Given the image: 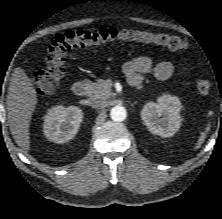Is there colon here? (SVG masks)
Instances as JSON below:
<instances>
[{
  "mask_svg": "<svg viewBox=\"0 0 222 219\" xmlns=\"http://www.w3.org/2000/svg\"><path fill=\"white\" fill-rule=\"evenodd\" d=\"M114 41L155 43L177 51L185 49L188 45L184 38L177 35L156 34L137 29L106 27L65 32L57 35L48 47L46 67L34 73L33 82L36 89L41 93H50L63 82L67 70V56L71 50ZM196 86L200 94L206 95L210 92L212 83L208 79H200Z\"/></svg>",
  "mask_w": 222,
  "mask_h": 219,
  "instance_id": "5ec220e1",
  "label": "colon"
}]
</instances>
